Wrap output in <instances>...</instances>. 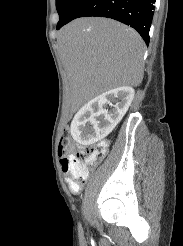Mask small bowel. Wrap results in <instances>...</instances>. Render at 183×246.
I'll list each match as a JSON object with an SVG mask.
<instances>
[{
    "label": "small bowel",
    "mask_w": 183,
    "mask_h": 246,
    "mask_svg": "<svg viewBox=\"0 0 183 246\" xmlns=\"http://www.w3.org/2000/svg\"><path fill=\"white\" fill-rule=\"evenodd\" d=\"M68 182H69V184H70V180H69V178H68ZM72 189V188H71ZM73 190V189H72ZM73 191H75V190H73ZM75 192H77V191H75Z\"/></svg>",
    "instance_id": "1"
}]
</instances>
